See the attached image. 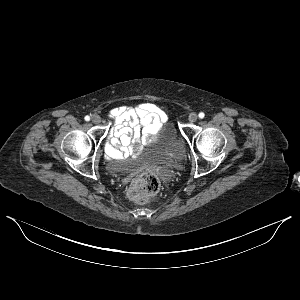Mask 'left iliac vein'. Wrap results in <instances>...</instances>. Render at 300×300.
Here are the masks:
<instances>
[{"mask_svg": "<svg viewBox=\"0 0 300 300\" xmlns=\"http://www.w3.org/2000/svg\"><path fill=\"white\" fill-rule=\"evenodd\" d=\"M189 122L190 123H194V122H196L197 121V119H198V115L196 114V113H191L190 115H189Z\"/></svg>", "mask_w": 300, "mask_h": 300, "instance_id": "obj_1", "label": "left iliac vein"}]
</instances>
